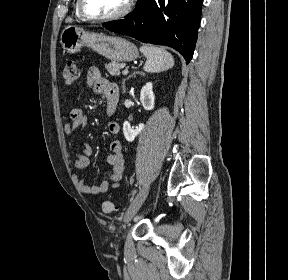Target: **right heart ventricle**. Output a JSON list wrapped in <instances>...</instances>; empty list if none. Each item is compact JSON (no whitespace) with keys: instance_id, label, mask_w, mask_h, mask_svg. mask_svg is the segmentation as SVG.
<instances>
[{"instance_id":"right-heart-ventricle-1","label":"right heart ventricle","mask_w":288,"mask_h":280,"mask_svg":"<svg viewBox=\"0 0 288 280\" xmlns=\"http://www.w3.org/2000/svg\"><path fill=\"white\" fill-rule=\"evenodd\" d=\"M75 15L78 19L83 20V18L80 16L79 12H78V7H77V2L75 4Z\"/></svg>"}]
</instances>
